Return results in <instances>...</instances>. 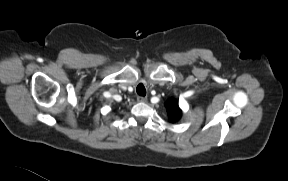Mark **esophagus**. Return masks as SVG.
Listing matches in <instances>:
<instances>
[{
	"instance_id": "1",
	"label": "esophagus",
	"mask_w": 288,
	"mask_h": 181,
	"mask_svg": "<svg viewBox=\"0 0 288 181\" xmlns=\"http://www.w3.org/2000/svg\"><path fill=\"white\" fill-rule=\"evenodd\" d=\"M137 101H138V102H146V101H147V98H146V97H143V96H138V97H137Z\"/></svg>"
}]
</instances>
